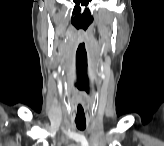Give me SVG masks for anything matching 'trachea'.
<instances>
[{"mask_svg": "<svg viewBox=\"0 0 164 146\" xmlns=\"http://www.w3.org/2000/svg\"><path fill=\"white\" fill-rule=\"evenodd\" d=\"M76 126L79 130H85L86 122L85 121H76Z\"/></svg>", "mask_w": 164, "mask_h": 146, "instance_id": "1", "label": "trachea"}]
</instances>
